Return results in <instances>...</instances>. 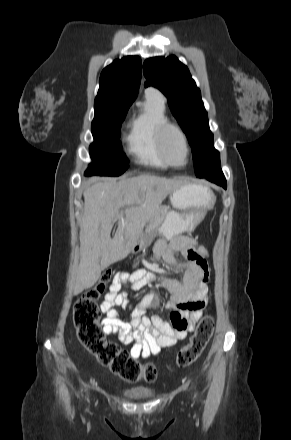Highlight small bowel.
I'll return each mask as SVG.
<instances>
[{"instance_id":"c3829d8e","label":"small bowel","mask_w":291,"mask_h":440,"mask_svg":"<svg viewBox=\"0 0 291 440\" xmlns=\"http://www.w3.org/2000/svg\"><path fill=\"white\" fill-rule=\"evenodd\" d=\"M176 253H180L184 260L176 261ZM207 257V249L189 236H176L168 241L159 240L151 257L152 264L163 259L174 269L184 272L182 282L169 277L161 281L172 295L166 302L167 315L146 316L148 298H145L132 311L129 320L121 319L117 307L125 309L129 303L127 292H120L121 285L139 289L146 281L153 279L151 274L144 271L132 275L121 273L114 277L101 304V311L106 314L102 320L104 333L115 336L124 345H130V355L134 359L157 355L162 347L174 346L179 340L187 338L195 330L208 303Z\"/></svg>"}]
</instances>
